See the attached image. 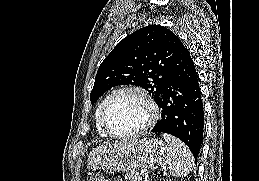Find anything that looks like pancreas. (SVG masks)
<instances>
[{
	"mask_svg": "<svg viewBox=\"0 0 259 181\" xmlns=\"http://www.w3.org/2000/svg\"><path fill=\"white\" fill-rule=\"evenodd\" d=\"M125 179L128 181H143L138 172H127L125 174Z\"/></svg>",
	"mask_w": 259,
	"mask_h": 181,
	"instance_id": "obj_1",
	"label": "pancreas"
}]
</instances>
